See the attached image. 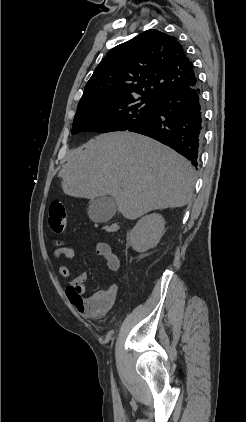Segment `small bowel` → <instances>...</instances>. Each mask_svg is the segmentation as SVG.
Listing matches in <instances>:
<instances>
[{"mask_svg":"<svg viewBox=\"0 0 246 422\" xmlns=\"http://www.w3.org/2000/svg\"><path fill=\"white\" fill-rule=\"evenodd\" d=\"M94 248L96 254L106 262L110 271H118L120 262L109 244L98 241L94 243ZM55 256H62L71 260L75 257V250L70 246H59L55 250ZM58 274L64 278H70L73 275L72 270L65 265L59 266ZM86 280L87 274L84 272L74 277L66 286V296L76 309L86 318H102L113 308L118 294V287L113 284L98 294L86 297Z\"/></svg>","mask_w":246,"mask_h":422,"instance_id":"c3829d8e","label":"small bowel"}]
</instances>
